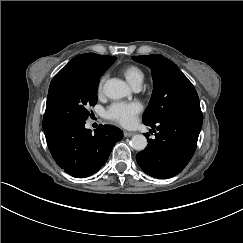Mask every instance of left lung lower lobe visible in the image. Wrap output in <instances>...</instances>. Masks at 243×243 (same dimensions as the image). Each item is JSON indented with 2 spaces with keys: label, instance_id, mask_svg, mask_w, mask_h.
Segmentation results:
<instances>
[{
  "label": "left lung lower lobe",
  "instance_id": "1",
  "mask_svg": "<svg viewBox=\"0 0 243 243\" xmlns=\"http://www.w3.org/2000/svg\"><path fill=\"white\" fill-rule=\"evenodd\" d=\"M202 112L180 110L156 124L159 132L147 147L136 155L140 168L148 175L168 179L180 173L191 160L202 127ZM155 132V131H154Z\"/></svg>",
  "mask_w": 243,
  "mask_h": 243
}]
</instances>
